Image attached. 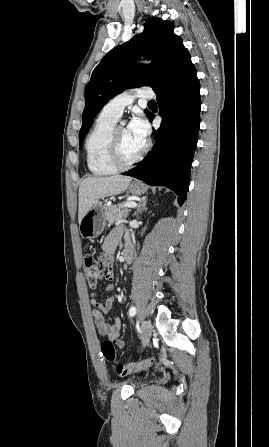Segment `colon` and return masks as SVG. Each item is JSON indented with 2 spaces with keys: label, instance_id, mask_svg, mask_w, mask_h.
Returning a JSON list of instances; mask_svg holds the SVG:
<instances>
[{
  "label": "colon",
  "instance_id": "5ec220e1",
  "mask_svg": "<svg viewBox=\"0 0 269 447\" xmlns=\"http://www.w3.org/2000/svg\"><path fill=\"white\" fill-rule=\"evenodd\" d=\"M106 266L105 255L102 252L88 254L83 260V271L87 284L94 290L101 282ZM101 352L108 362H114L117 357L115 346L111 342H103ZM151 362L134 364H119L115 368V373L119 377L127 376L132 372L145 370Z\"/></svg>",
  "mask_w": 269,
  "mask_h": 447
}]
</instances>
